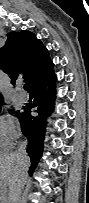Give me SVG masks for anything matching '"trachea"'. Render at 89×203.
I'll list each match as a JSON object with an SVG mask.
<instances>
[{"mask_svg": "<svg viewBox=\"0 0 89 203\" xmlns=\"http://www.w3.org/2000/svg\"><path fill=\"white\" fill-rule=\"evenodd\" d=\"M24 89L30 91L27 84L24 85Z\"/></svg>", "mask_w": 89, "mask_h": 203, "instance_id": "obj_1", "label": "trachea"}]
</instances>
